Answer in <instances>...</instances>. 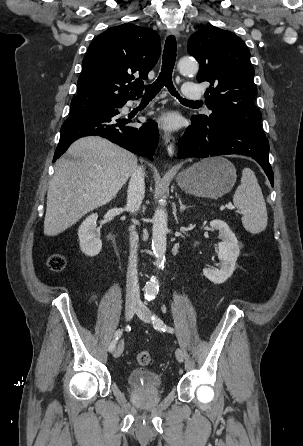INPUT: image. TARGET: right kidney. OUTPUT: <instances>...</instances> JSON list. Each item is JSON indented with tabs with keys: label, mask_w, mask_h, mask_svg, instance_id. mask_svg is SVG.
<instances>
[{
	"label": "right kidney",
	"mask_w": 303,
	"mask_h": 446,
	"mask_svg": "<svg viewBox=\"0 0 303 446\" xmlns=\"http://www.w3.org/2000/svg\"><path fill=\"white\" fill-rule=\"evenodd\" d=\"M97 214H91L81 224L78 230L79 244L82 253L96 256L102 249V241L96 235Z\"/></svg>",
	"instance_id": "1"
}]
</instances>
